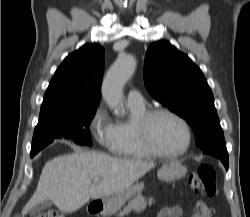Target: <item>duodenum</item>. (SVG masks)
<instances>
[{"label": "duodenum", "instance_id": "1", "mask_svg": "<svg viewBox=\"0 0 250 217\" xmlns=\"http://www.w3.org/2000/svg\"><path fill=\"white\" fill-rule=\"evenodd\" d=\"M88 210L93 215H98L102 212L103 206L98 203H92L89 205Z\"/></svg>", "mask_w": 250, "mask_h": 217}]
</instances>
